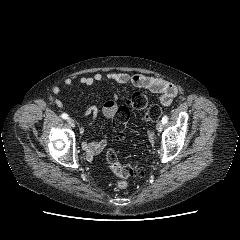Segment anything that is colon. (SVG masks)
<instances>
[{"mask_svg":"<svg viewBox=\"0 0 240 240\" xmlns=\"http://www.w3.org/2000/svg\"><path fill=\"white\" fill-rule=\"evenodd\" d=\"M129 106L138 110H146L145 118L147 121H156L162 114V110L159 106H148L147 97L141 92H135L131 95ZM129 118V108L127 106L118 107L113 117V126L118 141H122L125 137ZM106 161L110 169L119 177L116 183L118 189H126L128 187L127 180L129 178L134 176L142 177L145 175V170L137 164H121L114 150H108L106 152Z\"/></svg>","mask_w":240,"mask_h":240,"instance_id":"1","label":"colon"}]
</instances>
